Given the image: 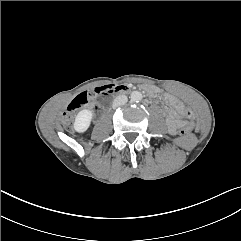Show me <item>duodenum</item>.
<instances>
[{"label": "duodenum", "instance_id": "duodenum-1", "mask_svg": "<svg viewBox=\"0 0 241 241\" xmlns=\"http://www.w3.org/2000/svg\"><path fill=\"white\" fill-rule=\"evenodd\" d=\"M126 91V88L122 87V86H119V87H115L114 88V92H117V93H123Z\"/></svg>", "mask_w": 241, "mask_h": 241}]
</instances>
